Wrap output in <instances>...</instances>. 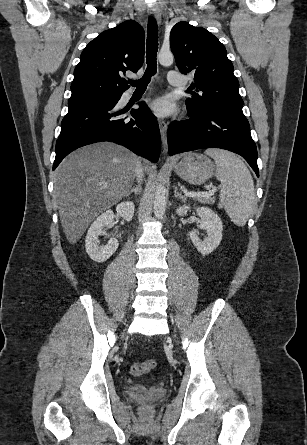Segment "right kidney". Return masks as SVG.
Wrapping results in <instances>:
<instances>
[{
  "instance_id": "right-kidney-1",
  "label": "right kidney",
  "mask_w": 307,
  "mask_h": 445,
  "mask_svg": "<svg viewBox=\"0 0 307 445\" xmlns=\"http://www.w3.org/2000/svg\"><path fill=\"white\" fill-rule=\"evenodd\" d=\"M116 210L120 216H123L125 220H132V216L134 214V202L131 200H127V202H120L117 204ZM114 218L113 210H106V212H102L94 223H92L86 237L85 241V249L86 253H88L90 259L92 261H96V263H104L107 259L112 257L113 253L118 249V241L117 239H109L107 245H98V237L105 233L102 229H109L112 220ZM117 237H121V235H117Z\"/></svg>"
}]
</instances>
